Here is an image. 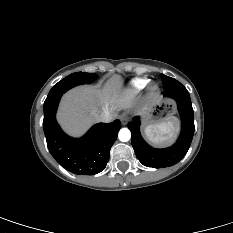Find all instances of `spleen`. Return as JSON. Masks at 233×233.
<instances>
[{"instance_id":"spleen-1","label":"spleen","mask_w":233,"mask_h":233,"mask_svg":"<svg viewBox=\"0 0 233 233\" xmlns=\"http://www.w3.org/2000/svg\"><path fill=\"white\" fill-rule=\"evenodd\" d=\"M177 129V118L170 117L165 122L147 126L144 132L149 142L154 145H163L174 137Z\"/></svg>"}]
</instances>
